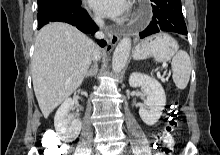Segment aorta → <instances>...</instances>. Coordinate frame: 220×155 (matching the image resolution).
<instances>
[{"label":"aorta","mask_w":220,"mask_h":155,"mask_svg":"<svg viewBox=\"0 0 220 155\" xmlns=\"http://www.w3.org/2000/svg\"><path fill=\"white\" fill-rule=\"evenodd\" d=\"M131 51V39L123 38L115 48L112 58V71L119 73L125 67Z\"/></svg>","instance_id":"762f6f07"}]
</instances>
